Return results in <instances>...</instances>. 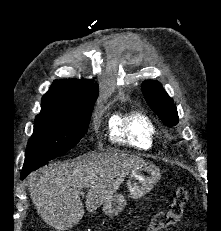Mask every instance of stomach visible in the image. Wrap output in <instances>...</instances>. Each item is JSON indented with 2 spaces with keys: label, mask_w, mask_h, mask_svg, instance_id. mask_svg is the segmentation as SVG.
<instances>
[{
  "label": "stomach",
  "mask_w": 221,
  "mask_h": 231,
  "mask_svg": "<svg viewBox=\"0 0 221 231\" xmlns=\"http://www.w3.org/2000/svg\"><path fill=\"white\" fill-rule=\"evenodd\" d=\"M160 169L154 164L143 163L131 170L127 180V189L133 198H140L147 194L160 180ZM126 206L122 194H114L104 202L102 210L107 216L118 215Z\"/></svg>",
  "instance_id": "obj_1"
}]
</instances>
